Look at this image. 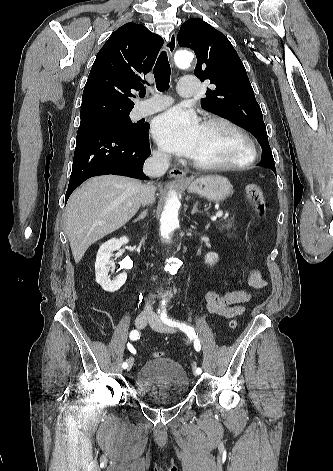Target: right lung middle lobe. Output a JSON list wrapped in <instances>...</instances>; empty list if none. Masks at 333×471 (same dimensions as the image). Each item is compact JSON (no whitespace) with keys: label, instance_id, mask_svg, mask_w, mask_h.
<instances>
[{"label":"right lung middle lobe","instance_id":"right-lung-middle-lobe-1","mask_svg":"<svg viewBox=\"0 0 333 471\" xmlns=\"http://www.w3.org/2000/svg\"><path fill=\"white\" fill-rule=\"evenodd\" d=\"M130 111L106 114L94 118L83 119L80 121L79 129L95 126H111L126 131H139L142 127L140 124L132 123L129 117Z\"/></svg>","mask_w":333,"mask_h":471}]
</instances>
